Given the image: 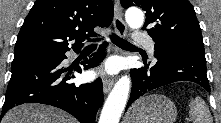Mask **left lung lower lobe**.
<instances>
[{"mask_svg":"<svg viewBox=\"0 0 221 123\" xmlns=\"http://www.w3.org/2000/svg\"><path fill=\"white\" fill-rule=\"evenodd\" d=\"M154 55L157 62H153L150 67L143 58L145 67L131 70L133 87L126 109L147 92L176 81H192L210 92L205 54L155 50Z\"/></svg>","mask_w":221,"mask_h":123,"instance_id":"obj_1","label":"left lung lower lobe"}]
</instances>
